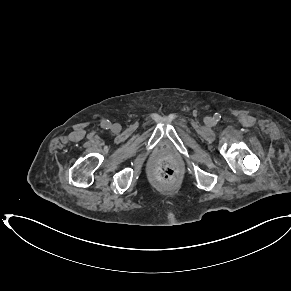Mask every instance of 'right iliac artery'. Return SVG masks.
Listing matches in <instances>:
<instances>
[{
  "mask_svg": "<svg viewBox=\"0 0 291 291\" xmlns=\"http://www.w3.org/2000/svg\"><path fill=\"white\" fill-rule=\"evenodd\" d=\"M101 127L104 129H109L111 127V122L109 120H104L101 122Z\"/></svg>",
  "mask_w": 291,
  "mask_h": 291,
  "instance_id": "obj_1",
  "label": "right iliac artery"
}]
</instances>
